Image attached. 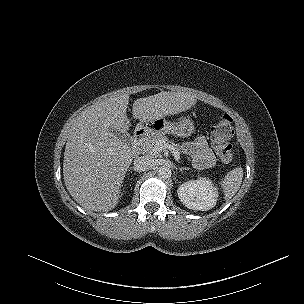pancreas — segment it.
Returning a JSON list of instances; mask_svg holds the SVG:
<instances>
[{
  "mask_svg": "<svg viewBox=\"0 0 304 304\" xmlns=\"http://www.w3.org/2000/svg\"><path fill=\"white\" fill-rule=\"evenodd\" d=\"M160 141H165L168 143V145L170 147H173L176 151H179L180 150V147L179 145L177 144H174L173 142H168V138L166 136H163V135H156L154 136L151 140H149L145 147H146V150L151 152L153 147L156 145V143L160 142ZM170 143V144H169Z\"/></svg>",
  "mask_w": 304,
  "mask_h": 304,
  "instance_id": "cf45deb5",
  "label": "pancreas"
}]
</instances>
